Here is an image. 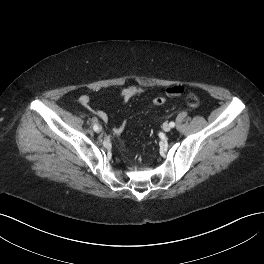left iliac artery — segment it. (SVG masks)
Returning a JSON list of instances; mask_svg holds the SVG:
<instances>
[{
    "label": "left iliac artery",
    "mask_w": 264,
    "mask_h": 264,
    "mask_svg": "<svg viewBox=\"0 0 264 264\" xmlns=\"http://www.w3.org/2000/svg\"><path fill=\"white\" fill-rule=\"evenodd\" d=\"M170 126L171 127H174L175 126V123L174 122H170Z\"/></svg>",
    "instance_id": "1"
}]
</instances>
